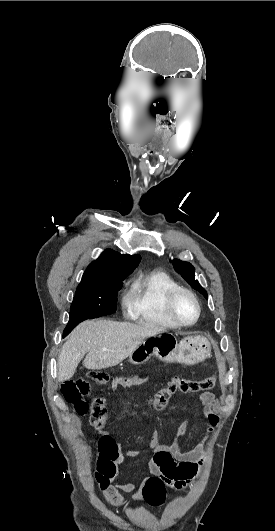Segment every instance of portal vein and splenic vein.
<instances>
[{
	"mask_svg": "<svg viewBox=\"0 0 275 531\" xmlns=\"http://www.w3.org/2000/svg\"><path fill=\"white\" fill-rule=\"evenodd\" d=\"M103 351H109V349H103Z\"/></svg>",
	"mask_w": 275,
	"mask_h": 531,
	"instance_id": "portal-vein-and-splenic-vein-1",
	"label": "portal vein and splenic vein"
}]
</instances>
